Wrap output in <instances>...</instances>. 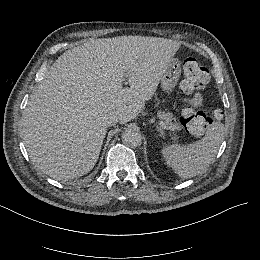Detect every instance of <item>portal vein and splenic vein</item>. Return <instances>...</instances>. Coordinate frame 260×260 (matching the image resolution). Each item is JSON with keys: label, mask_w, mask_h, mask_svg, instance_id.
I'll use <instances>...</instances> for the list:
<instances>
[{"label": "portal vein and splenic vein", "mask_w": 260, "mask_h": 260, "mask_svg": "<svg viewBox=\"0 0 260 260\" xmlns=\"http://www.w3.org/2000/svg\"><path fill=\"white\" fill-rule=\"evenodd\" d=\"M160 126H161L162 128H164V129H167V126H166V124H165L163 121L160 122Z\"/></svg>", "instance_id": "portal-vein-and-splenic-vein-1"}]
</instances>
